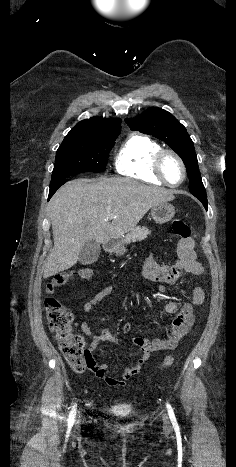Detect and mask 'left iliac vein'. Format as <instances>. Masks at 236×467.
<instances>
[{
    "label": "left iliac vein",
    "mask_w": 236,
    "mask_h": 467,
    "mask_svg": "<svg viewBox=\"0 0 236 467\" xmlns=\"http://www.w3.org/2000/svg\"><path fill=\"white\" fill-rule=\"evenodd\" d=\"M163 419H164V423H165L166 425H168L169 423H168V420H167V416H166L165 414H164V416H163Z\"/></svg>",
    "instance_id": "4c4485c4"
}]
</instances>
